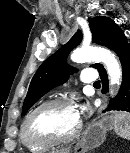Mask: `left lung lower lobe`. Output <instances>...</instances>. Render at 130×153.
I'll use <instances>...</instances> for the list:
<instances>
[{
    "label": "left lung lower lobe",
    "instance_id": "left-lung-lower-lobe-1",
    "mask_svg": "<svg viewBox=\"0 0 130 153\" xmlns=\"http://www.w3.org/2000/svg\"><path fill=\"white\" fill-rule=\"evenodd\" d=\"M106 47L113 50L118 55L123 69V80L120 91L115 99L110 101L107 110L130 112V45L124 33L120 31L110 38ZM98 71L102 80V92L105 93L108 90L107 74L103 66H101Z\"/></svg>",
    "mask_w": 130,
    "mask_h": 153
}]
</instances>
